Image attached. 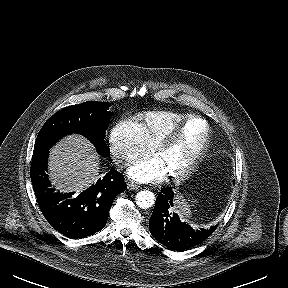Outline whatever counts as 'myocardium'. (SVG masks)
<instances>
[{
	"label": "myocardium",
	"instance_id": "obj_1",
	"mask_svg": "<svg viewBox=\"0 0 288 288\" xmlns=\"http://www.w3.org/2000/svg\"><path fill=\"white\" fill-rule=\"evenodd\" d=\"M192 120H200L206 125V134L201 147L198 149L197 153L194 155L192 160L180 171L170 173V177L173 179H184L188 177L199 165L200 161L207 152L210 140H211V126L209 122L200 115H189L181 121L174 124L169 130H167L157 141L155 145V152L160 154L164 149H166L177 137L181 129Z\"/></svg>",
	"mask_w": 288,
	"mask_h": 288
}]
</instances>
